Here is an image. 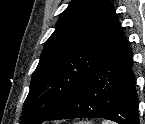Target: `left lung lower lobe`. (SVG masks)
<instances>
[{
    "instance_id": "0a47b994",
    "label": "left lung lower lobe",
    "mask_w": 145,
    "mask_h": 124,
    "mask_svg": "<svg viewBox=\"0 0 145 124\" xmlns=\"http://www.w3.org/2000/svg\"><path fill=\"white\" fill-rule=\"evenodd\" d=\"M104 118L119 124H139L132 52L122 45L49 118Z\"/></svg>"
}]
</instances>
